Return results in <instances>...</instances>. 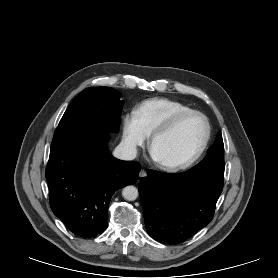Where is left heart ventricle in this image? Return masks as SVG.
I'll list each match as a JSON object with an SVG mask.
<instances>
[{
  "label": "left heart ventricle",
  "mask_w": 278,
  "mask_h": 278,
  "mask_svg": "<svg viewBox=\"0 0 278 278\" xmlns=\"http://www.w3.org/2000/svg\"><path fill=\"white\" fill-rule=\"evenodd\" d=\"M205 130L204 120L200 116H187L174 130L156 141L153 154L158 160L164 162L184 160L199 148Z\"/></svg>",
  "instance_id": "b2bd125f"
}]
</instances>
